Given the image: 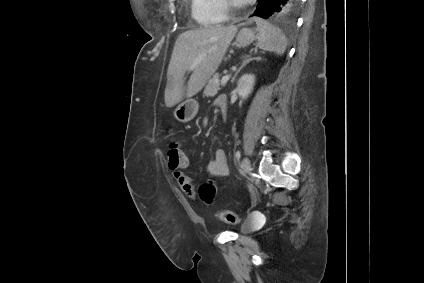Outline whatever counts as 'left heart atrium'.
Segmentation results:
<instances>
[{
	"mask_svg": "<svg viewBox=\"0 0 424 283\" xmlns=\"http://www.w3.org/2000/svg\"><path fill=\"white\" fill-rule=\"evenodd\" d=\"M233 1L237 4H246V3L250 2L251 0H233Z\"/></svg>",
	"mask_w": 424,
	"mask_h": 283,
	"instance_id": "left-heart-atrium-1",
	"label": "left heart atrium"
}]
</instances>
